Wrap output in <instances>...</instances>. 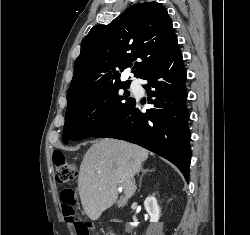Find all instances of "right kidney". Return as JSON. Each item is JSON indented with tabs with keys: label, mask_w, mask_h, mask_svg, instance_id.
Here are the masks:
<instances>
[{
	"label": "right kidney",
	"mask_w": 250,
	"mask_h": 235,
	"mask_svg": "<svg viewBox=\"0 0 250 235\" xmlns=\"http://www.w3.org/2000/svg\"><path fill=\"white\" fill-rule=\"evenodd\" d=\"M144 206L150 216V222H158L160 218V208L157 199L154 196H149L144 201ZM138 223H131V226H137Z\"/></svg>",
	"instance_id": "obj_1"
}]
</instances>
